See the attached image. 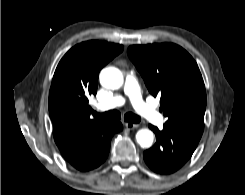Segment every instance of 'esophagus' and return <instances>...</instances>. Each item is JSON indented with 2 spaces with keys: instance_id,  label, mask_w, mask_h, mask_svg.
<instances>
[{
  "instance_id": "obj_1",
  "label": "esophagus",
  "mask_w": 245,
  "mask_h": 195,
  "mask_svg": "<svg viewBox=\"0 0 245 195\" xmlns=\"http://www.w3.org/2000/svg\"><path fill=\"white\" fill-rule=\"evenodd\" d=\"M138 126H139L138 124H134V123H130V122L125 123V127L127 129H130V130L137 129Z\"/></svg>"
}]
</instances>
